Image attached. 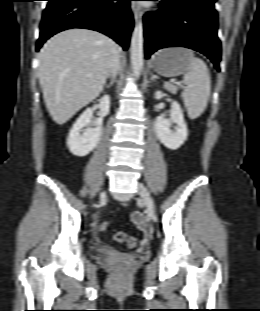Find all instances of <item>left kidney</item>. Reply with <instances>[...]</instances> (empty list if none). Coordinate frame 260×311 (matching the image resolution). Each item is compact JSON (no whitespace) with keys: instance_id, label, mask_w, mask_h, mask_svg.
Returning a JSON list of instances; mask_svg holds the SVG:
<instances>
[{"instance_id":"1","label":"left kidney","mask_w":260,"mask_h":311,"mask_svg":"<svg viewBox=\"0 0 260 311\" xmlns=\"http://www.w3.org/2000/svg\"><path fill=\"white\" fill-rule=\"evenodd\" d=\"M165 95L161 91L155 93V98L160 100ZM175 123V130H170L171 124ZM154 129L160 142L171 150L178 149L188 136L187 125L184 120L183 110L180 105L173 101L170 110V119L158 116L154 121Z\"/></svg>"}]
</instances>
